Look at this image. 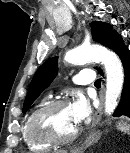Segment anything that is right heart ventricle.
Instances as JSON below:
<instances>
[{
    "instance_id": "1",
    "label": "right heart ventricle",
    "mask_w": 130,
    "mask_h": 153,
    "mask_svg": "<svg viewBox=\"0 0 130 153\" xmlns=\"http://www.w3.org/2000/svg\"><path fill=\"white\" fill-rule=\"evenodd\" d=\"M48 101H49L48 98H44L37 105H35L33 107V109L30 111V113L28 114L27 118L25 119V121L22 125L21 135H22L23 142L32 151L44 152V151H48L49 149L52 148V144L47 143V142L38 141V140H35L34 138H32V136L30 135V133L28 131V123H29V120H30L32 114L41 105L45 104Z\"/></svg>"
}]
</instances>
